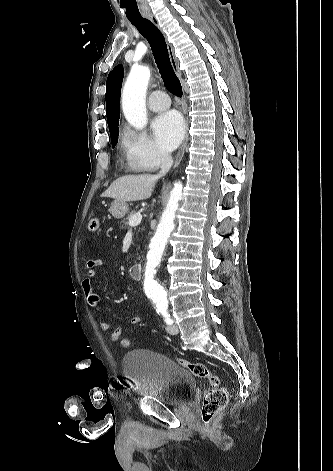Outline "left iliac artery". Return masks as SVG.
Here are the masks:
<instances>
[{"mask_svg": "<svg viewBox=\"0 0 333 471\" xmlns=\"http://www.w3.org/2000/svg\"><path fill=\"white\" fill-rule=\"evenodd\" d=\"M161 315L163 316L166 324L171 325L173 323V320L170 318V315L168 314V312L163 311L161 312Z\"/></svg>", "mask_w": 333, "mask_h": 471, "instance_id": "obj_1", "label": "left iliac artery"}]
</instances>
